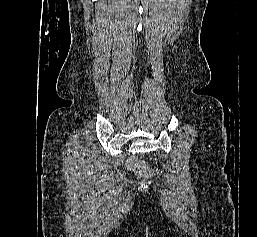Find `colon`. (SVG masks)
I'll return each mask as SVG.
<instances>
[{
	"instance_id": "1",
	"label": "colon",
	"mask_w": 257,
	"mask_h": 237,
	"mask_svg": "<svg viewBox=\"0 0 257 237\" xmlns=\"http://www.w3.org/2000/svg\"><path fill=\"white\" fill-rule=\"evenodd\" d=\"M135 170L142 177L149 176L152 173L147 165L143 162H137L135 164Z\"/></svg>"
}]
</instances>
